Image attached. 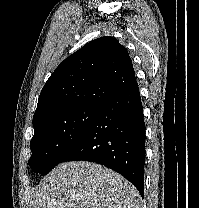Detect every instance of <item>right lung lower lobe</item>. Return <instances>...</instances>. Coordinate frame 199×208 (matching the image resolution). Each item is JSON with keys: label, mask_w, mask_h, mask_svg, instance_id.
Instances as JSON below:
<instances>
[{"label": "right lung lower lobe", "mask_w": 199, "mask_h": 208, "mask_svg": "<svg viewBox=\"0 0 199 208\" xmlns=\"http://www.w3.org/2000/svg\"><path fill=\"white\" fill-rule=\"evenodd\" d=\"M137 82L98 106L76 145L61 162L102 164L129 180L144 195L145 123Z\"/></svg>", "instance_id": "right-lung-lower-lobe-1"}]
</instances>
